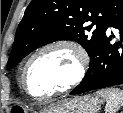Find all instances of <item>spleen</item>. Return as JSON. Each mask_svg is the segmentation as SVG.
I'll list each match as a JSON object with an SVG mask.
<instances>
[{
    "label": "spleen",
    "mask_w": 123,
    "mask_h": 113,
    "mask_svg": "<svg viewBox=\"0 0 123 113\" xmlns=\"http://www.w3.org/2000/svg\"><path fill=\"white\" fill-rule=\"evenodd\" d=\"M95 96L106 100L105 113H116L123 106V90L109 88L97 91Z\"/></svg>",
    "instance_id": "1"
}]
</instances>
